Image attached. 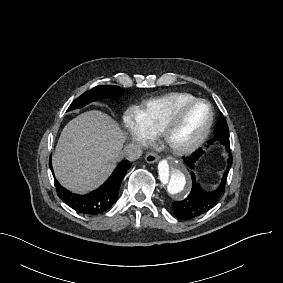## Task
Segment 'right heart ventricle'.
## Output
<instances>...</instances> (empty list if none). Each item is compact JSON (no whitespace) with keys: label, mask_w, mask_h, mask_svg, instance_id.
<instances>
[{"label":"right heart ventricle","mask_w":283,"mask_h":283,"mask_svg":"<svg viewBox=\"0 0 283 283\" xmlns=\"http://www.w3.org/2000/svg\"><path fill=\"white\" fill-rule=\"evenodd\" d=\"M165 98L174 99L176 103H172L170 105H175L177 107H180L178 103H183L189 100H193L196 99L197 97L187 92H174L160 99H152L146 101L140 107H138L137 110L140 113L152 137H158V129H159L158 116L162 109V101Z\"/></svg>","instance_id":"1"}]
</instances>
